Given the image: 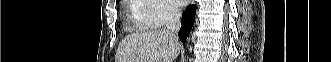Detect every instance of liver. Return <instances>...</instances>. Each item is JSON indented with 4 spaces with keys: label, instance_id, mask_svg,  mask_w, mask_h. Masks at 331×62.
I'll return each mask as SVG.
<instances>
[{
    "label": "liver",
    "instance_id": "1",
    "mask_svg": "<svg viewBox=\"0 0 331 62\" xmlns=\"http://www.w3.org/2000/svg\"><path fill=\"white\" fill-rule=\"evenodd\" d=\"M180 47L165 30L136 32L120 42L115 62H174Z\"/></svg>",
    "mask_w": 331,
    "mask_h": 62
}]
</instances>
